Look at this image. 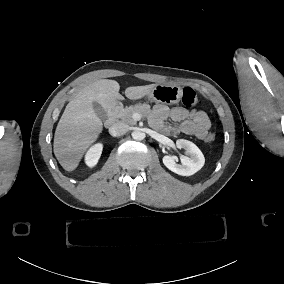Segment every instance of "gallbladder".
Instances as JSON below:
<instances>
[{"label":"gallbladder","instance_id":"bac80fb5","mask_svg":"<svg viewBox=\"0 0 284 284\" xmlns=\"http://www.w3.org/2000/svg\"><path fill=\"white\" fill-rule=\"evenodd\" d=\"M94 111L96 115L102 120L106 121L108 119V115L105 109H103L97 102H93Z\"/></svg>","mask_w":284,"mask_h":284}]
</instances>
